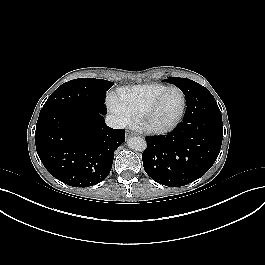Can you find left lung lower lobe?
I'll return each instance as SVG.
<instances>
[{
    "instance_id": "obj_1",
    "label": "left lung lower lobe",
    "mask_w": 265,
    "mask_h": 265,
    "mask_svg": "<svg viewBox=\"0 0 265 265\" xmlns=\"http://www.w3.org/2000/svg\"><path fill=\"white\" fill-rule=\"evenodd\" d=\"M184 95L183 121L166 136L145 138L148 148L142 154L146 173L169 187L202 177L218 157L223 138L220 109L207 103L204 89L192 87Z\"/></svg>"
}]
</instances>
